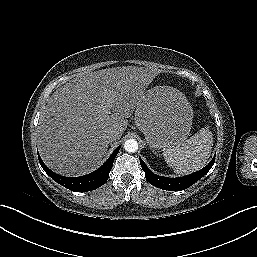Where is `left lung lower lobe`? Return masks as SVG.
I'll return each instance as SVG.
<instances>
[{"mask_svg":"<svg viewBox=\"0 0 257 257\" xmlns=\"http://www.w3.org/2000/svg\"><path fill=\"white\" fill-rule=\"evenodd\" d=\"M140 163H141L142 169L145 171L146 179L150 182L151 185L163 190L181 191L190 187L199 179H201L206 173H208V171L212 168V166L215 163V157L203 169L193 174H190L184 177H178V178H168V177L158 176L148 169V167L145 165L143 160L140 159Z\"/></svg>","mask_w":257,"mask_h":257,"instance_id":"left-lung-lower-lobe-1","label":"left lung lower lobe"}]
</instances>
